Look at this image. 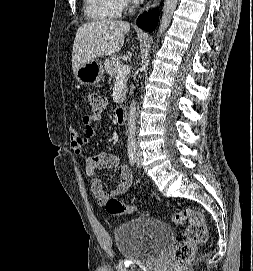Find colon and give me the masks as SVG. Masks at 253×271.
Instances as JSON below:
<instances>
[{"instance_id": "1", "label": "colon", "mask_w": 253, "mask_h": 271, "mask_svg": "<svg viewBox=\"0 0 253 271\" xmlns=\"http://www.w3.org/2000/svg\"><path fill=\"white\" fill-rule=\"evenodd\" d=\"M89 101L93 113L99 114L106 105L105 98L95 92L89 94ZM104 206L112 215L130 214L134 211L132 205L126 204L115 198L108 199ZM174 224L187 223L183 239L176 245L173 257L179 263H186L195 253L198 245L206 242L208 238V229L203 213L195 209H185L170 216Z\"/></svg>"}]
</instances>
